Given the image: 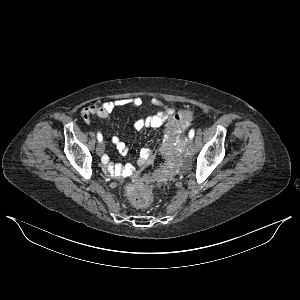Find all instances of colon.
Segmentation results:
<instances>
[{"mask_svg": "<svg viewBox=\"0 0 300 300\" xmlns=\"http://www.w3.org/2000/svg\"><path fill=\"white\" fill-rule=\"evenodd\" d=\"M191 119L192 114L190 112L182 111L174 115L169 122L163 145V151L167 156L166 167L137 178L135 181L136 185L132 184L128 188L129 198L136 207H148L153 201L151 188H155L157 183H166L170 175L174 173L178 160L177 141L180 134L189 125Z\"/></svg>", "mask_w": 300, "mask_h": 300, "instance_id": "1", "label": "colon"}]
</instances>
